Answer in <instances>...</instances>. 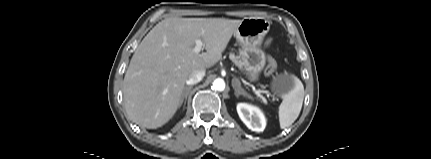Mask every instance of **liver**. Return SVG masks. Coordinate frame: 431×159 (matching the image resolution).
<instances>
[{"label":"liver","instance_id":"6515ba94","mask_svg":"<svg viewBox=\"0 0 431 159\" xmlns=\"http://www.w3.org/2000/svg\"><path fill=\"white\" fill-rule=\"evenodd\" d=\"M241 20L167 18L144 37L124 77L123 100L129 118L156 129L176 113L191 73L214 66ZM201 39L206 52L193 53Z\"/></svg>","mask_w":431,"mask_h":159}]
</instances>
